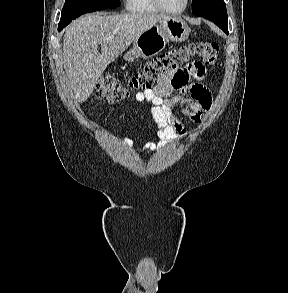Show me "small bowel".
Instances as JSON below:
<instances>
[{
  "label": "small bowel",
  "mask_w": 288,
  "mask_h": 293,
  "mask_svg": "<svg viewBox=\"0 0 288 293\" xmlns=\"http://www.w3.org/2000/svg\"><path fill=\"white\" fill-rule=\"evenodd\" d=\"M205 76V66L195 61L160 76L153 88L135 95L137 102L152 105L151 115L158 128L159 141L146 143L142 152L156 151L186 135L185 125L179 119L176 107L194 123H202L206 119L212 107V95L200 82L189 84L190 79L200 81ZM123 140L128 147L133 146L130 138L125 137Z\"/></svg>",
  "instance_id": "1"
}]
</instances>
